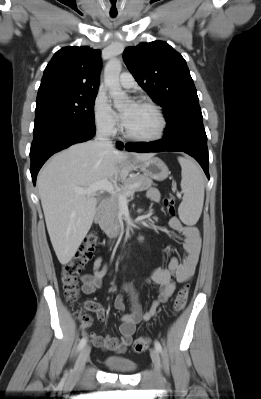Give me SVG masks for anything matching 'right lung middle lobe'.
I'll return each mask as SVG.
<instances>
[{"label":"right lung middle lobe","mask_w":261,"mask_h":399,"mask_svg":"<svg viewBox=\"0 0 261 399\" xmlns=\"http://www.w3.org/2000/svg\"><path fill=\"white\" fill-rule=\"evenodd\" d=\"M96 95L59 93L37 97L34 123L62 118L95 130L93 109Z\"/></svg>","instance_id":"1"}]
</instances>
